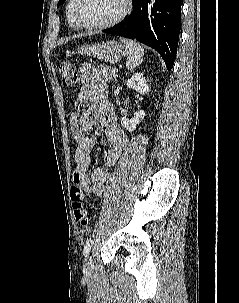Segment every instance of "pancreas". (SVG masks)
I'll return each instance as SVG.
<instances>
[{"label": "pancreas", "instance_id": "1", "mask_svg": "<svg viewBox=\"0 0 239 303\" xmlns=\"http://www.w3.org/2000/svg\"><path fill=\"white\" fill-rule=\"evenodd\" d=\"M100 75L106 82H109L116 76L110 67L104 65H100Z\"/></svg>", "mask_w": 239, "mask_h": 303}]
</instances>
